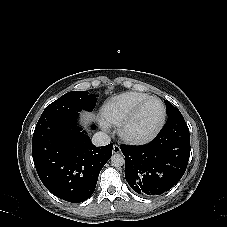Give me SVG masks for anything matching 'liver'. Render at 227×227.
<instances>
[{
  "instance_id": "1",
  "label": "liver",
  "mask_w": 227,
  "mask_h": 227,
  "mask_svg": "<svg viewBox=\"0 0 227 227\" xmlns=\"http://www.w3.org/2000/svg\"><path fill=\"white\" fill-rule=\"evenodd\" d=\"M82 116L84 118L85 124H87L88 121L89 120H92V118H93V115L92 114L86 113V112L82 113Z\"/></svg>"
}]
</instances>
